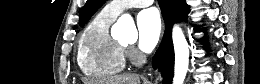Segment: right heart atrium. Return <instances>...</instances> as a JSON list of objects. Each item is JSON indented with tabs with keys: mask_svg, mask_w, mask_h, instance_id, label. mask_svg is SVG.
Listing matches in <instances>:
<instances>
[{
	"mask_svg": "<svg viewBox=\"0 0 260 84\" xmlns=\"http://www.w3.org/2000/svg\"><path fill=\"white\" fill-rule=\"evenodd\" d=\"M125 54L133 61V62H137L140 59V55L137 51H135L134 49H127L125 51Z\"/></svg>",
	"mask_w": 260,
	"mask_h": 84,
	"instance_id": "right-heart-atrium-1",
	"label": "right heart atrium"
}]
</instances>
